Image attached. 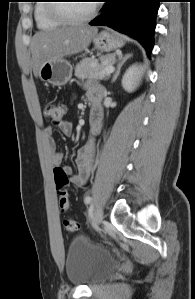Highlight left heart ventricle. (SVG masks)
<instances>
[{
  "instance_id": "left-heart-ventricle-1",
  "label": "left heart ventricle",
  "mask_w": 195,
  "mask_h": 299,
  "mask_svg": "<svg viewBox=\"0 0 195 299\" xmlns=\"http://www.w3.org/2000/svg\"><path fill=\"white\" fill-rule=\"evenodd\" d=\"M93 2L91 1H74L65 3L63 11L73 17L86 16L92 7Z\"/></svg>"
}]
</instances>
